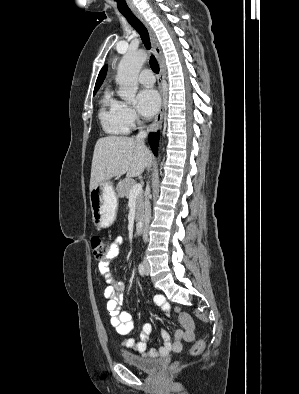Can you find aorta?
Instances as JSON below:
<instances>
[{"instance_id":"1","label":"aorta","mask_w":299,"mask_h":394,"mask_svg":"<svg viewBox=\"0 0 299 394\" xmlns=\"http://www.w3.org/2000/svg\"><path fill=\"white\" fill-rule=\"evenodd\" d=\"M146 59L147 54L143 50L127 52L118 65L116 76V82L119 85L118 94L128 103L135 101L138 75Z\"/></svg>"}]
</instances>
